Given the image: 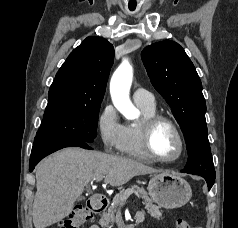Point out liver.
Returning <instances> with one entry per match:
<instances>
[{"mask_svg":"<svg viewBox=\"0 0 238 228\" xmlns=\"http://www.w3.org/2000/svg\"><path fill=\"white\" fill-rule=\"evenodd\" d=\"M158 172L126 157L77 147L62 149L37 167L34 226L46 228L67 217L84 187L98 177H104L106 184L120 186L135 176Z\"/></svg>","mask_w":238,"mask_h":228,"instance_id":"6515ba94","label":"liver"}]
</instances>
